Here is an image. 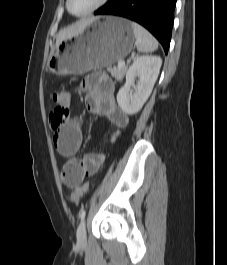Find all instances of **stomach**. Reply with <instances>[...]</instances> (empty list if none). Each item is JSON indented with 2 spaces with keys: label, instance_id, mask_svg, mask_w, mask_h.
<instances>
[{
  "label": "stomach",
  "instance_id": "1",
  "mask_svg": "<svg viewBox=\"0 0 227 265\" xmlns=\"http://www.w3.org/2000/svg\"><path fill=\"white\" fill-rule=\"evenodd\" d=\"M135 41L132 23L114 16L94 19L75 37L63 40L47 62L56 75H80L122 61Z\"/></svg>",
  "mask_w": 227,
  "mask_h": 265
}]
</instances>
